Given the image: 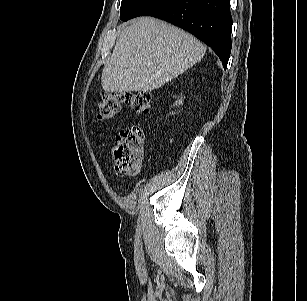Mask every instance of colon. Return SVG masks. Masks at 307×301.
<instances>
[{
  "label": "colon",
  "instance_id": "1",
  "mask_svg": "<svg viewBox=\"0 0 307 301\" xmlns=\"http://www.w3.org/2000/svg\"><path fill=\"white\" fill-rule=\"evenodd\" d=\"M127 105L139 114H146L153 105V98L146 91H115L102 95L99 103L98 119L108 121L120 113ZM144 134L138 126L122 130L116 137L113 147L115 169L121 176H136L142 170Z\"/></svg>",
  "mask_w": 307,
  "mask_h": 301
}]
</instances>
